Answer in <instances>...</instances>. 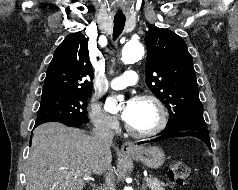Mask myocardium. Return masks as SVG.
<instances>
[{
	"mask_svg": "<svg viewBox=\"0 0 238 190\" xmlns=\"http://www.w3.org/2000/svg\"><path fill=\"white\" fill-rule=\"evenodd\" d=\"M135 100H141V101H147L150 102L156 109L157 115H158V120L156 125L146 131H138L133 129L131 126L128 125V123L125 124V129L126 131L133 137L135 138H150L153 136H156L159 134L167 125L168 117H167V112L165 109V106L161 102L159 98H157L153 94L149 93H141L136 95Z\"/></svg>",
	"mask_w": 238,
	"mask_h": 190,
	"instance_id": "obj_1",
	"label": "myocardium"
}]
</instances>
